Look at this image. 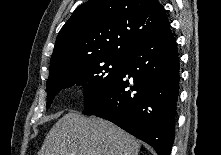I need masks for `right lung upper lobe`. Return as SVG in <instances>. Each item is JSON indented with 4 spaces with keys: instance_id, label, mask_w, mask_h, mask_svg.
I'll return each instance as SVG.
<instances>
[{
    "instance_id": "right-lung-upper-lobe-1",
    "label": "right lung upper lobe",
    "mask_w": 221,
    "mask_h": 155,
    "mask_svg": "<svg viewBox=\"0 0 221 155\" xmlns=\"http://www.w3.org/2000/svg\"><path fill=\"white\" fill-rule=\"evenodd\" d=\"M168 27L158 0H89L60 30L50 74L82 60L126 57L141 39Z\"/></svg>"
}]
</instances>
